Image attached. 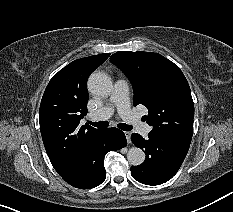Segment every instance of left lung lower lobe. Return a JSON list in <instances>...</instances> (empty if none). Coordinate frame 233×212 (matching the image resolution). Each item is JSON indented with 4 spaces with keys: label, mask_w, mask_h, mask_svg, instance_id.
<instances>
[{
    "label": "left lung lower lobe",
    "mask_w": 233,
    "mask_h": 212,
    "mask_svg": "<svg viewBox=\"0 0 233 212\" xmlns=\"http://www.w3.org/2000/svg\"><path fill=\"white\" fill-rule=\"evenodd\" d=\"M131 140L146 154L141 165L131 167V175L146 185H160L171 179L183 163L190 146L189 143L150 133L148 139L133 133Z\"/></svg>",
    "instance_id": "left-lung-lower-lobe-1"
}]
</instances>
